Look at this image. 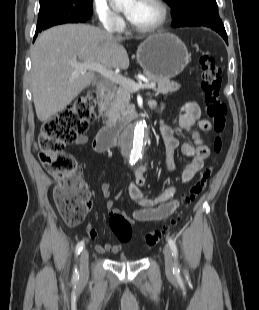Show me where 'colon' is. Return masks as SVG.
<instances>
[{"instance_id":"5ec220e1","label":"colon","mask_w":259,"mask_h":310,"mask_svg":"<svg viewBox=\"0 0 259 310\" xmlns=\"http://www.w3.org/2000/svg\"><path fill=\"white\" fill-rule=\"evenodd\" d=\"M199 64L205 110L217 134L214 149L220 152L223 147L221 134L226 128L227 114L226 105L220 99L221 69L208 52L200 53ZM96 103V93L86 92L65 106L56 116L45 121L39 135L40 161L57 181L54 200L60 216L69 225H76L83 221L91 205V193L82 182L80 167L73 155L65 152V146L85 134L95 121ZM211 174V167L200 172L198 179L184 195L186 204L193 202L201 194ZM178 220L179 217L173 219L170 224L146 234V247L155 246ZM109 227L122 243L128 242L132 237L131 223L121 213L116 212L110 215Z\"/></svg>"}]
</instances>
